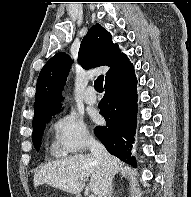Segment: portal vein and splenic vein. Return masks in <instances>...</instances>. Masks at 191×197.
Masks as SVG:
<instances>
[{"label": "portal vein and splenic vein", "mask_w": 191, "mask_h": 197, "mask_svg": "<svg viewBox=\"0 0 191 197\" xmlns=\"http://www.w3.org/2000/svg\"><path fill=\"white\" fill-rule=\"evenodd\" d=\"M89 197H95L94 195H90Z\"/></svg>", "instance_id": "obj_1"}]
</instances>
